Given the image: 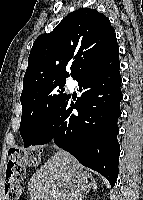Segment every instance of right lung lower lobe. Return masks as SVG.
Returning a JSON list of instances; mask_svg holds the SVG:
<instances>
[{"label":"right lung lower lobe","instance_id":"right-lung-lower-lobe-1","mask_svg":"<svg viewBox=\"0 0 143 200\" xmlns=\"http://www.w3.org/2000/svg\"><path fill=\"white\" fill-rule=\"evenodd\" d=\"M119 69V47L84 68L74 78L81 97L68 95L31 144L54 141L81 164L106 177L111 187L118 177L120 155L117 120L123 95Z\"/></svg>","mask_w":143,"mask_h":200}]
</instances>
